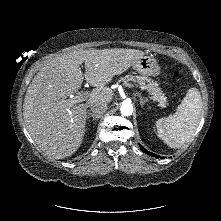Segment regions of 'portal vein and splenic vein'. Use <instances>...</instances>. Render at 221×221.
<instances>
[{
	"instance_id": "1",
	"label": "portal vein and splenic vein",
	"mask_w": 221,
	"mask_h": 221,
	"mask_svg": "<svg viewBox=\"0 0 221 221\" xmlns=\"http://www.w3.org/2000/svg\"><path fill=\"white\" fill-rule=\"evenodd\" d=\"M123 85L126 86V87H129V88H133V87H134L132 84H130V83H128V82H124ZM87 95H88L87 92L81 91V92H79V93L77 94V96H75V97L73 98L72 101H73V103H79V102L85 101L86 98H87Z\"/></svg>"
}]
</instances>
